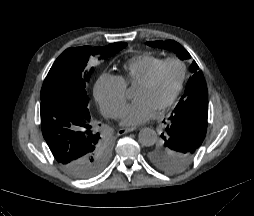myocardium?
<instances>
[{
  "label": "myocardium",
  "instance_id": "f54148a6",
  "mask_svg": "<svg viewBox=\"0 0 254 216\" xmlns=\"http://www.w3.org/2000/svg\"><path fill=\"white\" fill-rule=\"evenodd\" d=\"M176 64L179 69H180V76H179V80L178 83L176 85V88L172 94V96L169 98L168 101H166L164 104H162L157 110L159 112H163L165 110H167L168 108H170L177 100L182 87H183V83L186 77V73H187V67L186 64L183 60H181L180 58L177 57H170V58H166L164 59L162 62H160L152 71L151 73L143 80L141 81L137 86L139 87H148L150 85H152L154 83V81L156 80L158 74L160 73V71L162 70V68L167 65V64Z\"/></svg>",
  "mask_w": 254,
  "mask_h": 216
}]
</instances>
